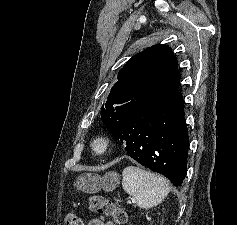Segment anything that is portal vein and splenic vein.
<instances>
[{"label": "portal vein and splenic vein", "mask_w": 237, "mask_h": 225, "mask_svg": "<svg viewBox=\"0 0 237 225\" xmlns=\"http://www.w3.org/2000/svg\"><path fill=\"white\" fill-rule=\"evenodd\" d=\"M132 203H134V199H132Z\"/></svg>", "instance_id": "obj_1"}]
</instances>
